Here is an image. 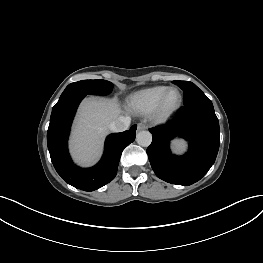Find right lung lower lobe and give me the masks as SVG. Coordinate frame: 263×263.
Segmentation results:
<instances>
[{"instance_id":"obj_1","label":"right lung lower lobe","mask_w":263,"mask_h":263,"mask_svg":"<svg viewBox=\"0 0 263 263\" xmlns=\"http://www.w3.org/2000/svg\"><path fill=\"white\" fill-rule=\"evenodd\" d=\"M84 94H74L59 100L52 109L47 132V144L57 173L73 187L96 190L114 179L123 149L135 140L136 125L130 130L110 134L105 141L100 162L91 168L73 164L67 148V140L73 117Z\"/></svg>"}]
</instances>
